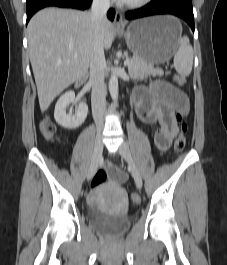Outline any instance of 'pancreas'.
I'll return each instance as SVG.
<instances>
[{"label":"pancreas","mask_w":227,"mask_h":265,"mask_svg":"<svg viewBox=\"0 0 227 265\" xmlns=\"http://www.w3.org/2000/svg\"><path fill=\"white\" fill-rule=\"evenodd\" d=\"M131 63L128 65V72L132 79H141L147 76H162L163 70L155 68L152 65L146 64L142 60L133 57L130 59Z\"/></svg>","instance_id":"obj_1"}]
</instances>
